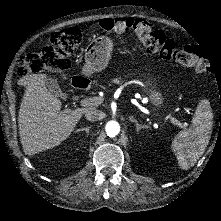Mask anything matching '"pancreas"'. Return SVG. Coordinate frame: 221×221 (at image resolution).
I'll use <instances>...</instances> for the list:
<instances>
[{
	"mask_svg": "<svg viewBox=\"0 0 221 221\" xmlns=\"http://www.w3.org/2000/svg\"><path fill=\"white\" fill-rule=\"evenodd\" d=\"M112 82L118 83V82H120V81H119V79H115V80H112Z\"/></svg>",
	"mask_w": 221,
	"mask_h": 221,
	"instance_id": "pancreas-1",
	"label": "pancreas"
}]
</instances>
